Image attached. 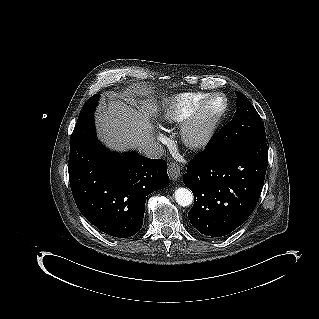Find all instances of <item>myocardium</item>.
Segmentation results:
<instances>
[{
  "label": "myocardium",
  "instance_id": "f54148a6",
  "mask_svg": "<svg viewBox=\"0 0 319 319\" xmlns=\"http://www.w3.org/2000/svg\"><path fill=\"white\" fill-rule=\"evenodd\" d=\"M215 99L222 100V107L211 120L205 121L204 113L206 108ZM227 110L228 103L223 94H208L180 126L179 139L181 144L190 150L204 148L214 136Z\"/></svg>",
  "mask_w": 319,
  "mask_h": 319
}]
</instances>
